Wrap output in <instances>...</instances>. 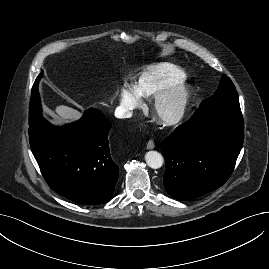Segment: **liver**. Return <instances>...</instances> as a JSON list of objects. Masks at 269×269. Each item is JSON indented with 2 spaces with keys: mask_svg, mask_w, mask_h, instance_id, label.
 <instances>
[{
  "mask_svg": "<svg viewBox=\"0 0 269 269\" xmlns=\"http://www.w3.org/2000/svg\"><path fill=\"white\" fill-rule=\"evenodd\" d=\"M57 114H53V119L50 121L54 125L61 124L64 121H76L82 116V113L76 109L65 105H59L55 109Z\"/></svg>",
  "mask_w": 269,
  "mask_h": 269,
  "instance_id": "6515ba94",
  "label": "liver"
}]
</instances>
